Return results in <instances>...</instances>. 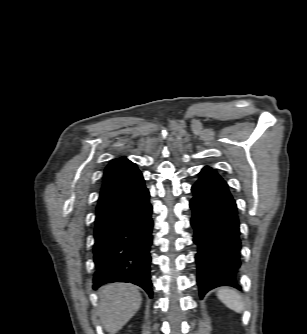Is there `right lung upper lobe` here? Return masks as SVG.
I'll return each instance as SVG.
<instances>
[{"mask_svg":"<svg viewBox=\"0 0 307 334\" xmlns=\"http://www.w3.org/2000/svg\"><path fill=\"white\" fill-rule=\"evenodd\" d=\"M139 174L137 166L128 159L122 157L112 160L104 172L100 198L122 188Z\"/></svg>","mask_w":307,"mask_h":334,"instance_id":"obj_1","label":"right lung upper lobe"}]
</instances>
